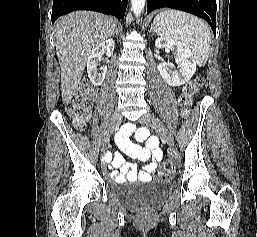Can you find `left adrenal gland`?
<instances>
[{"mask_svg":"<svg viewBox=\"0 0 257 237\" xmlns=\"http://www.w3.org/2000/svg\"><path fill=\"white\" fill-rule=\"evenodd\" d=\"M153 31V24L151 25V28H150V32H152Z\"/></svg>","mask_w":257,"mask_h":237,"instance_id":"1","label":"left adrenal gland"}]
</instances>
